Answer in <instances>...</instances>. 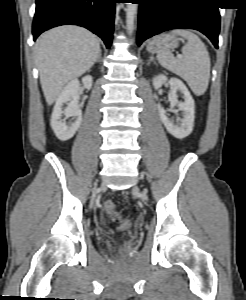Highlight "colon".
I'll list each match as a JSON object with an SVG mask.
<instances>
[{
	"mask_svg": "<svg viewBox=\"0 0 246 300\" xmlns=\"http://www.w3.org/2000/svg\"><path fill=\"white\" fill-rule=\"evenodd\" d=\"M104 212L109 220L120 224L122 229H127L129 227V222L122 219L121 213L114 201L106 200L104 202Z\"/></svg>",
	"mask_w": 246,
	"mask_h": 300,
	"instance_id": "5ec220e1",
	"label": "colon"
}]
</instances>
